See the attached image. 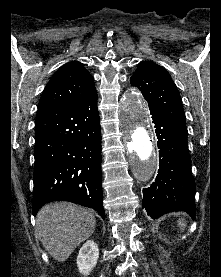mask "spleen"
<instances>
[{
  "mask_svg": "<svg viewBox=\"0 0 221 277\" xmlns=\"http://www.w3.org/2000/svg\"><path fill=\"white\" fill-rule=\"evenodd\" d=\"M178 224H179V226H181V227L185 226V223H184L183 221H181V220H179Z\"/></svg>",
  "mask_w": 221,
  "mask_h": 277,
  "instance_id": "spleen-1",
  "label": "spleen"
}]
</instances>
